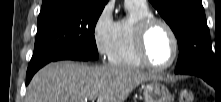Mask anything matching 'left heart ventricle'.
<instances>
[{
  "instance_id": "b2bd125f",
  "label": "left heart ventricle",
  "mask_w": 221,
  "mask_h": 102,
  "mask_svg": "<svg viewBox=\"0 0 221 102\" xmlns=\"http://www.w3.org/2000/svg\"><path fill=\"white\" fill-rule=\"evenodd\" d=\"M147 51L152 62L167 64L174 53V45L168 31L160 25L152 28L147 38Z\"/></svg>"
}]
</instances>
